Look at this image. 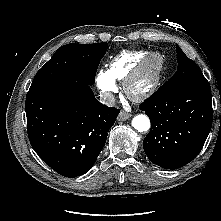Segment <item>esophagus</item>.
<instances>
[{"mask_svg":"<svg viewBox=\"0 0 221 221\" xmlns=\"http://www.w3.org/2000/svg\"><path fill=\"white\" fill-rule=\"evenodd\" d=\"M131 117V114L125 112V111H121L117 117L118 121H125L127 119H129Z\"/></svg>","mask_w":221,"mask_h":221,"instance_id":"34e87169","label":"esophagus"}]
</instances>
